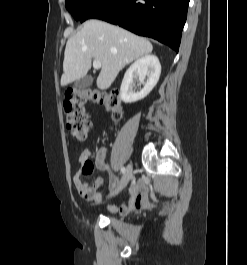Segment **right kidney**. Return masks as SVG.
Listing matches in <instances>:
<instances>
[{
    "label": "right kidney",
    "instance_id": "obj_1",
    "mask_svg": "<svg viewBox=\"0 0 247 265\" xmlns=\"http://www.w3.org/2000/svg\"><path fill=\"white\" fill-rule=\"evenodd\" d=\"M161 74V65L155 55H146L136 60L126 71L120 87V97L125 103L145 98L156 86ZM147 80L145 81V78ZM134 78L143 84L139 91L134 89Z\"/></svg>",
    "mask_w": 247,
    "mask_h": 265
}]
</instances>
